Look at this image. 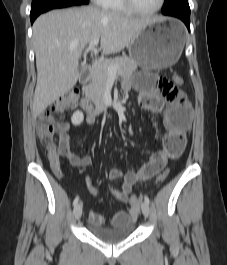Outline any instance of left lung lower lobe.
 I'll return each instance as SVG.
<instances>
[{"label": "left lung lower lobe", "mask_w": 227, "mask_h": 265, "mask_svg": "<svg viewBox=\"0 0 227 265\" xmlns=\"http://www.w3.org/2000/svg\"><path fill=\"white\" fill-rule=\"evenodd\" d=\"M168 16H173L181 19L186 24L188 30L190 31V14H169Z\"/></svg>", "instance_id": "left-lung-lower-lobe-1"}]
</instances>
